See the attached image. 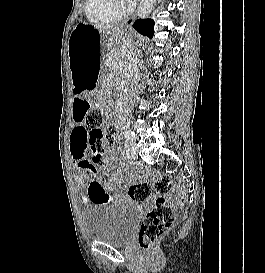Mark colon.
I'll list each match as a JSON object with an SVG mask.
<instances>
[{"label":"colon","instance_id":"colon-1","mask_svg":"<svg viewBox=\"0 0 265 273\" xmlns=\"http://www.w3.org/2000/svg\"><path fill=\"white\" fill-rule=\"evenodd\" d=\"M86 123L91 128L88 144L93 160L96 164L108 168L104 144L113 142L115 124L113 121L105 122L103 112L98 107L88 112ZM154 193L159 195L154 198L153 205L138 232V244L143 249L150 248L173 226L177 208L186 203L183 190L164 174L157 175L151 181L133 183L128 191L129 197L135 202H145Z\"/></svg>","mask_w":265,"mask_h":273}]
</instances>
